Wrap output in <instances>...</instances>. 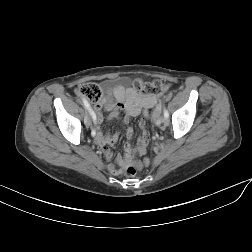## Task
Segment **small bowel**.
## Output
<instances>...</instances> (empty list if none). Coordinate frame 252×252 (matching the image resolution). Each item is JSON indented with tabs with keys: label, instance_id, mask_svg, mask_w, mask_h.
Wrapping results in <instances>:
<instances>
[{
	"label": "small bowel",
	"instance_id": "1",
	"mask_svg": "<svg viewBox=\"0 0 252 252\" xmlns=\"http://www.w3.org/2000/svg\"><path fill=\"white\" fill-rule=\"evenodd\" d=\"M161 98H165V95H161ZM159 100V97L154 95H142L133 88H125L123 86L116 87L112 92L106 95L94 108L96 110L97 121L95 123L94 130L97 131L95 141L103 148V152L106 158L111 159L113 153L110 146L116 143L118 140V133H103L100 130V124L103 122L102 110L108 112L109 119H116L119 117V112L124 111L123 123L127 124L130 117H136L142 112L145 115L148 109L152 108ZM141 129V136L138 140L136 148H133L131 139L133 137V130L127 128L126 130V143L124 146V155H119L116 164L110 165L109 169L114 175H120L124 168L135 159L136 155L142 156L146 153L149 143V133L146 128L145 119H141L139 122ZM148 159H143V164L147 165Z\"/></svg>",
	"mask_w": 252,
	"mask_h": 252
}]
</instances>
